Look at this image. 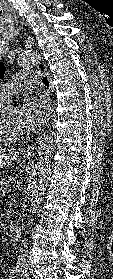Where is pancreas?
<instances>
[{"label": "pancreas", "instance_id": "cf45deb5", "mask_svg": "<svg viewBox=\"0 0 113 279\" xmlns=\"http://www.w3.org/2000/svg\"><path fill=\"white\" fill-rule=\"evenodd\" d=\"M8 183H9L8 178H3L0 180V195L6 193Z\"/></svg>", "mask_w": 113, "mask_h": 279}]
</instances>
